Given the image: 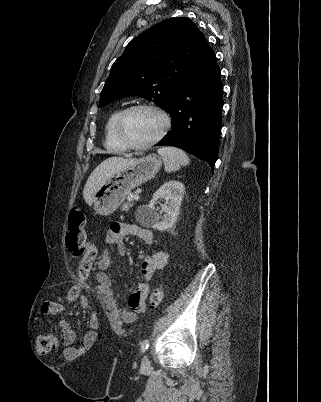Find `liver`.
Wrapping results in <instances>:
<instances>
[{
	"label": "liver",
	"mask_w": 321,
	"mask_h": 402,
	"mask_svg": "<svg viewBox=\"0 0 321 402\" xmlns=\"http://www.w3.org/2000/svg\"><path fill=\"white\" fill-rule=\"evenodd\" d=\"M136 159L123 157H109L101 162L89 176L83 190V197L87 204H92L95 192L116 171L132 164Z\"/></svg>",
	"instance_id": "obj_1"
}]
</instances>
